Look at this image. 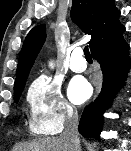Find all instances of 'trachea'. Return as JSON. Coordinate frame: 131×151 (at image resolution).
<instances>
[{"label":"trachea","instance_id":"1","mask_svg":"<svg viewBox=\"0 0 131 151\" xmlns=\"http://www.w3.org/2000/svg\"><path fill=\"white\" fill-rule=\"evenodd\" d=\"M84 55H85L86 60H92V57H91V54L89 52L88 46H86L84 48Z\"/></svg>","mask_w":131,"mask_h":151}]
</instances>
